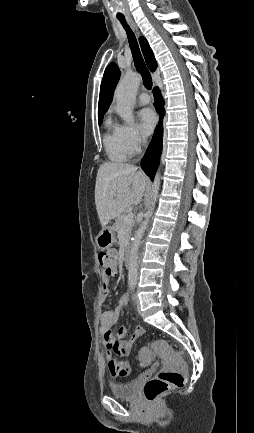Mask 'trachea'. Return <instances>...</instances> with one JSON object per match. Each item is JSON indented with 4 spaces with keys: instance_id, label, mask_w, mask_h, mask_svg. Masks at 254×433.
Masks as SVG:
<instances>
[{
    "instance_id": "trachea-1",
    "label": "trachea",
    "mask_w": 254,
    "mask_h": 433,
    "mask_svg": "<svg viewBox=\"0 0 254 433\" xmlns=\"http://www.w3.org/2000/svg\"><path fill=\"white\" fill-rule=\"evenodd\" d=\"M118 19L127 32V37H128L130 49H131V52L133 55L135 67H136L137 71L142 76L144 86L147 89H151L152 88V78H151L150 72L148 71V69L144 63V60H143V57L141 55L136 37H135L134 33L132 32V30L130 29V27L128 26L125 18H118Z\"/></svg>"
}]
</instances>
